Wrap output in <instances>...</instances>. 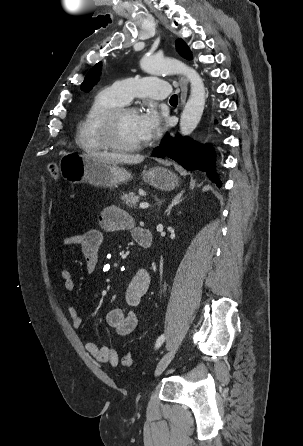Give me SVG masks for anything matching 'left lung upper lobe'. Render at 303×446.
Masks as SVG:
<instances>
[{
  "label": "left lung upper lobe",
  "mask_w": 303,
  "mask_h": 446,
  "mask_svg": "<svg viewBox=\"0 0 303 446\" xmlns=\"http://www.w3.org/2000/svg\"><path fill=\"white\" fill-rule=\"evenodd\" d=\"M176 48L182 57L186 59H191L190 50L188 46L181 39L176 41ZM101 68H102V63L99 62L89 70L83 83L81 84V89L83 91H90L93 85L98 82L101 75Z\"/></svg>",
  "instance_id": "obj_1"
}]
</instances>
